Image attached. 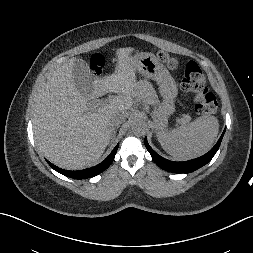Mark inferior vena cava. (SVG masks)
<instances>
[{
	"label": "inferior vena cava",
	"instance_id": "1",
	"mask_svg": "<svg viewBox=\"0 0 253 253\" xmlns=\"http://www.w3.org/2000/svg\"><path fill=\"white\" fill-rule=\"evenodd\" d=\"M127 114L125 112H117L113 113L110 117V124L112 127H118L120 126L123 122H125L127 118Z\"/></svg>",
	"mask_w": 253,
	"mask_h": 253
}]
</instances>
